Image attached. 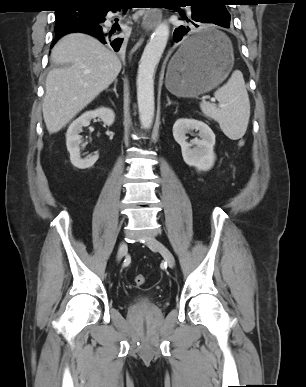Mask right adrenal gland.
Instances as JSON below:
<instances>
[{"label":"right adrenal gland","mask_w":306,"mask_h":387,"mask_svg":"<svg viewBox=\"0 0 306 387\" xmlns=\"http://www.w3.org/2000/svg\"><path fill=\"white\" fill-rule=\"evenodd\" d=\"M116 86H117V79L114 81L113 89H108V91H113L115 93L116 97L118 98V93H117V90H116Z\"/></svg>","instance_id":"1"}]
</instances>
